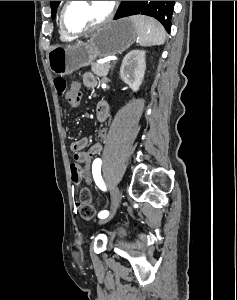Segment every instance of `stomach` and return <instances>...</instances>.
I'll return each mask as SVG.
<instances>
[{"label": "stomach", "instance_id": "stomach-1", "mask_svg": "<svg viewBox=\"0 0 237 300\" xmlns=\"http://www.w3.org/2000/svg\"><path fill=\"white\" fill-rule=\"evenodd\" d=\"M137 31L130 19L109 21L89 35L87 43L51 47L47 53L48 67L55 75H71L81 67H88L97 57L119 55L137 39Z\"/></svg>", "mask_w": 237, "mask_h": 300}]
</instances>
